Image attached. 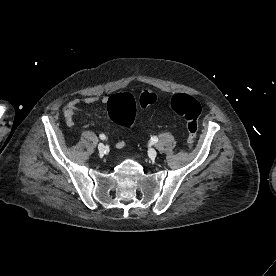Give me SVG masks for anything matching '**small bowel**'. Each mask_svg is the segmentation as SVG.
I'll use <instances>...</instances> for the list:
<instances>
[{"label":"small bowel","mask_w":276,"mask_h":276,"mask_svg":"<svg viewBox=\"0 0 276 276\" xmlns=\"http://www.w3.org/2000/svg\"><path fill=\"white\" fill-rule=\"evenodd\" d=\"M108 102V98L106 96H84V97H78L74 98L71 101H69L63 110V115L65 118V121L68 126H73L74 121V115L78 112H81L80 106L81 105H92V104H106ZM126 145L125 141L120 140L115 143V147L117 149H122Z\"/></svg>","instance_id":"small-bowel-1"}]
</instances>
